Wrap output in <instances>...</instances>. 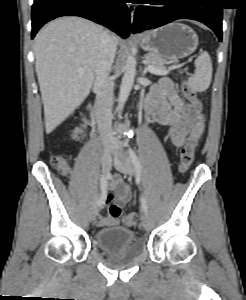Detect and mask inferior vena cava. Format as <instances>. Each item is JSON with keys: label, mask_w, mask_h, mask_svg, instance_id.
I'll list each match as a JSON object with an SVG mask.
<instances>
[{"label": "inferior vena cava", "mask_w": 246, "mask_h": 300, "mask_svg": "<svg viewBox=\"0 0 246 300\" xmlns=\"http://www.w3.org/2000/svg\"><path fill=\"white\" fill-rule=\"evenodd\" d=\"M116 48L113 38L107 32H103L95 61L94 90L96 121L105 151L111 150L118 143L111 133L114 82L109 77Z\"/></svg>", "instance_id": "1"}]
</instances>
